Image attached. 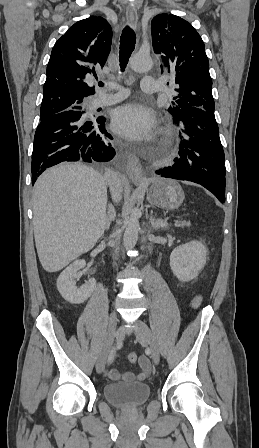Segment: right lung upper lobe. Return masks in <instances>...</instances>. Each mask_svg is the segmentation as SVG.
Returning <instances> with one entry per match:
<instances>
[{
    "instance_id": "right-lung-upper-lobe-1",
    "label": "right lung upper lobe",
    "mask_w": 259,
    "mask_h": 448,
    "mask_svg": "<svg viewBox=\"0 0 259 448\" xmlns=\"http://www.w3.org/2000/svg\"><path fill=\"white\" fill-rule=\"evenodd\" d=\"M111 42V26L100 16L76 22L57 40L47 65L40 114L84 105L95 93L87 80L105 65Z\"/></svg>"
}]
</instances>
